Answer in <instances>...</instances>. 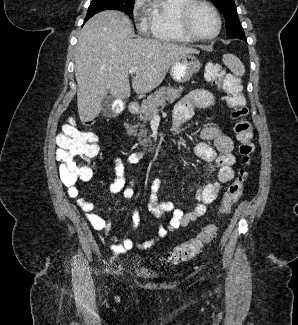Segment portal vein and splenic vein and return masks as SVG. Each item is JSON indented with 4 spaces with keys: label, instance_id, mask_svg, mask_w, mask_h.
Masks as SVG:
<instances>
[{
    "label": "portal vein and splenic vein",
    "instance_id": "portal-vein-and-splenic-vein-1",
    "mask_svg": "<svg viewBox=\"0 0 298 325\" xmlns=\"http://www.w3.org/2000/svg\"><path fill=\"white\" fill-rule=\"evenodd\" d=\"M137 68H130V70H128V72H130V74H134V72H136ZM156 114V112H155Z\"/></svg>",
    "mask_w": 298,
    "mask_h": 325
}]
</instances>
